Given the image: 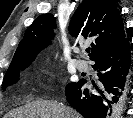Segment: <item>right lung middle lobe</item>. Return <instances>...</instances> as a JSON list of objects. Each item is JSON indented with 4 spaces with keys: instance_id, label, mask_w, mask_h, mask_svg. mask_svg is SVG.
<instances>
[{
    "instance_id": "dd1d6c3e",
    "label": "right lung middle lobe",
    "mask_w": 133,
    "mask_h": 118,
    "mask_svg": "<svg viewBox=\"0 0 133 118\" xmlns=\"http://www.w3.org/2000/svg\"><path fill=\"white\" fill-rule=\"evenodd\" d=\"M31 62L29 63H23V64H17L14 65L10 68H8L5 77H4V81L2 84L3 89H5L8 85H12L14 83H16L19 80V73L20 70H24L25 68H27L30 65ZM72 84V83H70Z\"/></svg>"
}]
</instances>
